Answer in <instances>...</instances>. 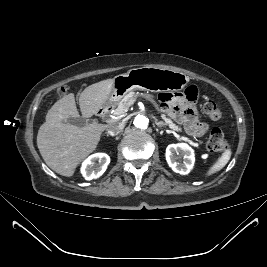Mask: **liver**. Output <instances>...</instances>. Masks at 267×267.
Segmentation results:
<instances>
[{
	"label": "liver",
	"mask_w": 267,
	"mask_h": 267,
	"mask_svg": "<svg viewBox=\"0 0 267 267\" xmlns=\"http://www.w3.org/2000/svg\"><path fill=\"white\" fill-rule=\"evenodd\" d=\"M113 83L114 78L106 79L81 92L79 106L83 117L89 118L102 108L111 94ZM70 117H80L73 93L55 102L37 135V146L45 163L66 177L73 176L76 167L96 149L102 132L107 128L98 123L78 127L67 122Z\"/></svg>",
	"instance_id": "1"
}]
</instances>
